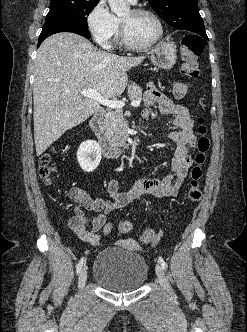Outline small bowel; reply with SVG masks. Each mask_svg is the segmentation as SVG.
Masks as SVG:
<instances>
[{"mask_svg": "<svg viewBox=\"0 0 247 332\" xmlns=\"http://www.w3.org/2000/svg\"><path fill=\"white\" fill-rule=\"evenodd\" d=\"M144 104L145 117L150 114L155 104L162 114L173 116L175 129L166 132V135L176 143L170 172L162 177L140 178L128 191H120L118 181L110 179L107 183L108 199L100 196L92 198L85 191L73 188L70 191L71 196L96 215L91 218L84 215L74 216L69 221V227L79 239L90 245H99L98 231L105 227L107 215L112 211L122 209L146 195L157 198L177 196L192 165L189 152L198 139L194 133V122L188 108L173 102L154 86L145 92Z\"/></svg>", "mask_w": 247, "mask_h": 332, "instance_id": "c3829d8e", "label": "small bowel"}]
</instances>
